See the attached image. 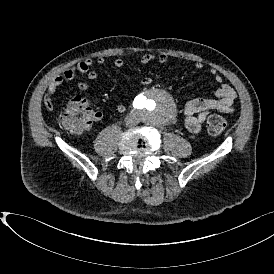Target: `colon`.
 I'll list each match as a JSON object with an SVG mask.
<instances>
[{
	"instance_id": "obj_1",
	"label": "colon",
	"mask_w": 274,
	"mask_h": 274,
	"mask_svg": "<svg viewBox=\"0 0 274 274\" xmlns=\"http://www.w3.org/2000/svg\"><path fill=\"white\" fill-rule=\"evenodd\" d=\"M58 123L73 133H80L93 120L91 111L80 101H71L57 118ZM226 121L220 115H212L207 120V130L210 134L218 135L225 131Z\"/></svg>"
}]
</instances>
